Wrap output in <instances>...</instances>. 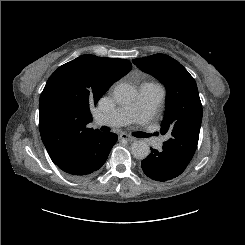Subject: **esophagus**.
<instances>
[{
	"label": "esophagus",
	"mask_w": 245,
	"mask_h": 245,
	"mask_svg": "<svg viewBox=\"0 0 245 245\" xmlns=\"http://www.w3.org/2000/svg\"><path fill=\"white\" fill-rule=\"evenodd\" d=\"M119 138L122 139V140H126V141H134L135 138L126 134V133H120L119 134Z\"/></svg>",
	"instance_id": "1"
}]
</instances>
